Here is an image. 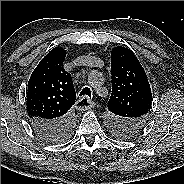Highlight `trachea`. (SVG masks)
Wrapping results in <instances>:
<instances>
[{
  "label": "trachea",
  "instance_id": "1",
  "mask_svg": "<svg viewBox=\"0 0 184 184\" xmlns=\"http://www.w3.org/2000/svg\"><path fill=\"white\" fill-rule=\"evenodd\" d=\"M80 96H89L91 98V90L88 87L83 88Z\"/></svg>",
  "mask_w": 184,
  "mask_h": 184
}]
</instances>
